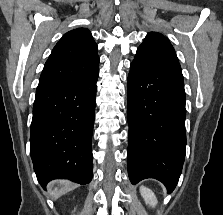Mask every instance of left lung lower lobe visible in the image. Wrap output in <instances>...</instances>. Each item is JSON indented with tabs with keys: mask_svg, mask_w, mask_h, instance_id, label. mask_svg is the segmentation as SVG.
Instances as JSON below:
<instances>
[{
	"mask_svg": "<svg viewBox=\"0 0 223 215\" xmlns=\"http://www.w3.org/2000/svg\"><path fill=\"white\" fill-rule=\"evenodd\" d=\"M127 110L131 183L155 178L171 193L178 183L185 158L183 80L132 62Z\"/></svg>",
	"mask_w": 223,
	"mask_h": 215,
	"instance_id": "obj_1",
	"label": "left lung lower lobe"
}]
</instances>
